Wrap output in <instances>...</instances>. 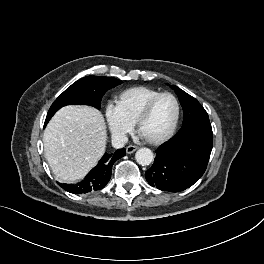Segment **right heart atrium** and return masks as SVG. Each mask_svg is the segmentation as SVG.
<instances>
[{
	"label": "right heart atrium",
	"mask_w": 264,
	"mask_h": 264,
	"mask_svg": "<svg viewBox=\"0 0 264 264\" xmlns=\"http://www.w3.org/2000/svg\"><path fill=\"white\" fill-rule=\"evenodd\" d=\"M105 117L112 135L117 139H122L133 128V123L120 113L115 104L109 103L106 106Z\"/></svg>",
	"instance_id": "obj_1"
}]
</instances>
